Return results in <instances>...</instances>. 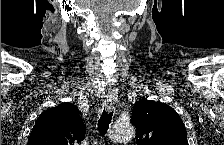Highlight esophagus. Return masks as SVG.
Here are the masks:
<instances>
[{
    "instance_id": "esophagus-1",
    "label": "esophagus",
    "mask_w": 224,
    "mask_h": 145,
    "mask_svg": "<svg viewBox=\"0 0 224 145\" xmlns=\"http://www.w3.org/2000/svg\"><path fill=\"white\" fill-rule=\"evenodd\" d=\"M115 98H116V94L114 90H110L107 95V102H106L107 111H111L113 109Z\"/></svg>"
}]
</instances>
